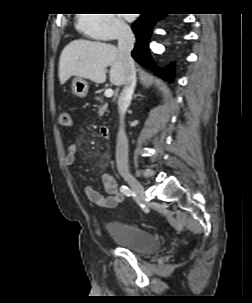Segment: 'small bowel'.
Instances as JSON below:
<instances>
[{"instance_id":"obj_1","label":"small bowel","mask_w":252,"mask_h":303,"mask_svg":"<svg viewBox=\"0 0 252 303\" xmlns=\"http://www.w3.org/2000/svg\"><path fill=\"white\" fill-rule=\"evenodd\" d=\"M77 150V143H70L68 145L65 157L66 165L74 166L76 164ZM101 182L107 195H102L90 186L85 189L86 196L95 206L102 209H111L124 201V194L121 192L117 180L112 175L104 173L101 176Z\"/></svg>"}]
</instances>
